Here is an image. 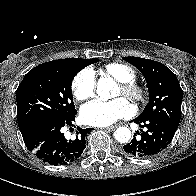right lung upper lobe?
<instances>
[{
    "label": "right lung upper lobe",
    "instance_id": "1",
    "mask_svg": "<svg viewBox=\"0 0 196 196\" xmlns=\"http://www.w3.org/2000/svg\"><path fill=\"white\" fill-rule=\"evenodd\" d=\"M63 60L76 63L83 68L92 64V63H96V58H93V59L67 58V59H63Z\"/></svg>",
    "mask_w": 196,
    "mask_h": 196
}]
</instances>
